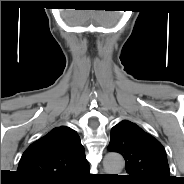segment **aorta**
<instances>
[{
  "label": "aorta",
  "instance_id": "1",
  "mask_svg": "<svg viewBox=\"0 0 184 184\" xmlns=\"http://www.w3.org/2000/svg\"><path fill=\"white\" fill-rule=\"evenodd\" d=\"M123 157L118 153H108L103 161L104 170L107 174H118L124 168Z\"/></svg>",
  "mask_w": 184,
  "mask_h": 184
}]
</instances>
